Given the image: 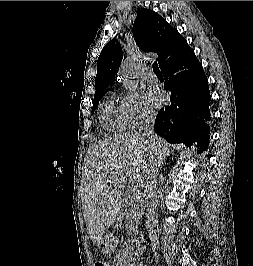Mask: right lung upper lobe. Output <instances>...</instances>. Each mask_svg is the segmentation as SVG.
Returning a JSON list of instances; mask_svg holds the SVG:
<instances>
[{
  "mask_svg": "<svg viewBox=\"0 0 253 266\" xmlns=\"http://www.w3.org/2000/svg\"><path fill=\"white\" fill-rule=\"evenodd\" d=\"M136 44L145 52L158 54L160 68L180 58L188 49L187 41L171 27L165 19L149 9H141L133 25ZM123 58L120 43L109 41L97 61L94 98L103 95L105 88L113 83L119 64Z\"/></svg>",
  "mask_w": 253,
  "mask_h": 266,
  "instance_id": "cb5924a9",
  "label": "right lung upper lobe"
}]
</instances>
